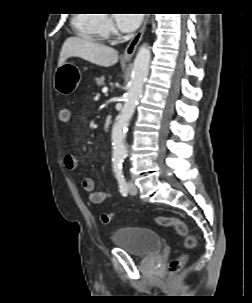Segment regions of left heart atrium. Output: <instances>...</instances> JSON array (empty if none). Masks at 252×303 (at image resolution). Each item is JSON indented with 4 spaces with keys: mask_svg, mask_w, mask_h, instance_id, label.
Listing matches in <instances>:
<instances>
[{
    "mask_svg": "<svg viewBox=\"0 0 252 303\" xmlns=\"http://www.w3.org/2000/svg\"><path fill=\"white\" fill-rule=\"evenodd\" d=\"M118 28L123 32L134 31L141 22V15L137 14H115L114 15Z\"/></svg>",
    "mask_w": 252,
    "mask_h": 303,
    "instance_id": "obj_1",
    "label": "left heart atrium"
}]
</instances>
